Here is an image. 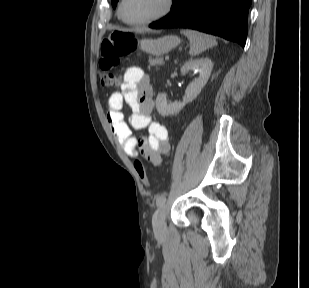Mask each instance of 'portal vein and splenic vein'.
<instances>
[{"mask_svg": "<svg viewBox=\"0 0 309 288\" xmlns=\"http://www.w3.org/2000/svg\"><path fill=\"white\" fill-rule=\"evenodd\" d=\"M165 60H169V55H166V56H165Z\"/></svg>", "mask_w": 309, "mask_h": 288, "instance_id": "1", "label": "portal vein and splenic vein"}]
</instances>
